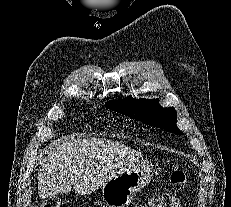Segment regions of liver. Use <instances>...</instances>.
I'll return each mask as SVG.
<instances>
[{
	"instance_id": "1",
	"label": "liver",
	"mask_w": 231,
	"mask_h": 207,
	"mask_svg": "<svg viewBox=\"0 0 231 207\" xmlns=\"http://www.w3.org/2000/svg\"><path fill=\"white\" fill-rule=\"evenodd\" d=\"M142 156L126 146L99 138L70 136L50 145L38 171L40 198L74 191L87 195L103 186L118 170L135 167Z\"/></svg>"
}]
</instances>
